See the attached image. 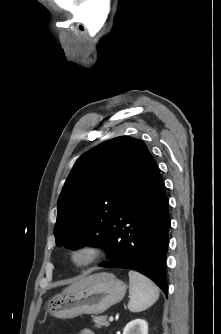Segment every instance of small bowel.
Returning <instances> with one entry per match:
<instances>
[{"label":"small bowel","mask_w":221,"mask_h":334,"mask_svg":"<svg viewBox=\"0 0 221 334\" xmlns=\"http://www.w3.org/2000/svg\"><path fill=\"white\" fill-rule=\"evenodd\" d=\"M77 334H95V333L89 328H83Z\"/></svg>","instance_id":"small-bowel-1"}]
</instances>
